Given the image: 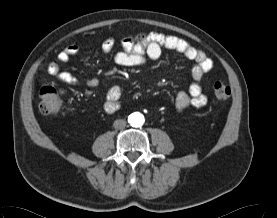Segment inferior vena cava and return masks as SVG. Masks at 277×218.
Here are the masks:
<instances>
[{"mask_svg": "<svg viewBox=\"0 0 277 218\" xmlns=\"http://www.w3.org/2000/svg\"><path fill=\"white\" fill-rule=\"evenodd\" d=\"M126 124H127L126 120L117 119V120L114 121L113 126L116 129H123V128H125Z\"/></svg>", "mask_w": 277, "mask_h": 218, "instance_id": "inferior-vena-cava-1", "label": "inferior vena cava"}]
</instances>
